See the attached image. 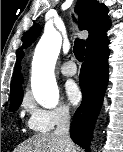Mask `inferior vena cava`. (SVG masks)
Wrapping results in <instances>:
<instances>
[{"label": "inferior vena cava", "instance_id": "obj_1", "mask_svg": "<svg viewBox=\"0 0 123 152\" xmlns=\"http://www.w3.org/2000/svg\"><path fill=\"white\" fill-rule=\"evenodd\" d=\"M70 129V114L67 110H62L59 112L57 127L54 133L64 140V142L69 143L71 141L69 135Z\"/></svg>", "mask_w": 123, "mask_h": 152}]
</instances>
